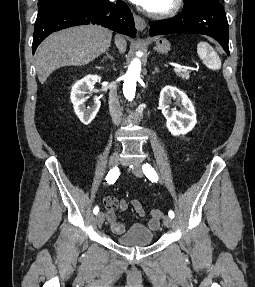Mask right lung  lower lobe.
<instances>
[{
    "label": "right lung lower lobe",
    "mask_w": 255,
    "mask_h": 287,
    "mask_svg": "<svg viewBox=\"0 0 255 287\" xmlns=\"http://www.w3.org/2000/svg\"><path fill=\"white\" fill-rule=\"evenodd\" d=\"M85 24H98L118 33L136 37L133 15L128 6L120 0L116 4L109 3L103 10L90 6L55 8L37 16L33 34V53L49 34Z\"/></svg>",
    "instance_id": "obj_1"
}]
</instances>
